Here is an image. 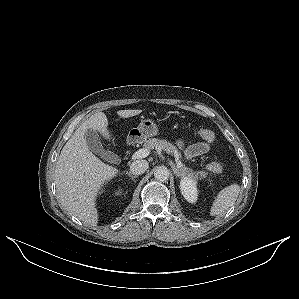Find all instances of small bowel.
Here are the masks:
<instances>
[{"label":"small bowel","mask_w":299,"mask_h":299,"mask_svg":"<svg viewBox=\"0 0 299 299\" xmlns=\"http://www.w3.org/2000/svg\"><path fill=\"white\" fill-rule=\"evenodd\" d=\"M179 148L183 149L184 156L186 159H192L197 156L204 155L210 151V145L206 142H197L187 147H184L182 141H178Z\"/></svg>","instance_id":"obj_1"}]
</instances>
